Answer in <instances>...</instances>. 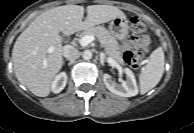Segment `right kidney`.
I'll return each mask as SVG.
<instances>
[{"instance_id": "right-kidney-1", "label": "right kidney", "mask_w": 194, "mask_h": 133, "mask_svg": "<svg viewBox=\"0 0 194 133\" xmlns=\"http://www.w3.org/2000/svg\"><path fill=\"white\" fill-rule=\"evenodd\" d=\"M66 83H67V75L65 72H61L60 74L56 76V78L54 79L52 83V91L54 93L61 92L66 86Z\"/></svg>"}]
</instances>
